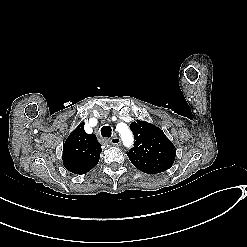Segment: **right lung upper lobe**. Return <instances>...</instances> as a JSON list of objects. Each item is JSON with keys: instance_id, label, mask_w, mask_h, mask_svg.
Returning a JSON list of instances; mask_svg holds the SVG:
<instances>
[{"instance_id": "right-lung-upper-lobe-1", "label": "right lung upper lobe", "mask_w": 247, "mask_h": 247, "mask_svg": "<svg viewBox=\"0 0 247 247\" xmlns=\"http://www.w3.org/2000/svg\"><path fill=\"white\" fill-rule=\"evenodd\" d=\"M101 144L94 134H86L84 123L68 136L62 160L65 168L74 174H85L99 162Z\"/></svg>"}]
</instances>
